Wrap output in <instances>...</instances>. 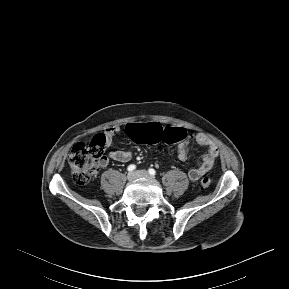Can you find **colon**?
<instances>
[{"mask_svg": "<svg viewBox=\"0 0 289 289\" xmlns=\"http://www.w3.org/2000/svg\"><path fill=\"white\" fill-rule=\"evenodd\" d=\"M125 135L138 143L156 144L164 141L169 144L179 143L186 139L187 132L183 128L166 129L162 122L130 123L125 128ZM105 138L97 135L90 143L79 142L74 145L68 156V162L73 172V179L78 185L87 184L104 160ZM210 179L203 177L202 188L210 186Z\"/></svg>", "mask_w": 289, "mask_h": 289, "instance_id": "obj_1", "label": "colon"}]
</instances>
